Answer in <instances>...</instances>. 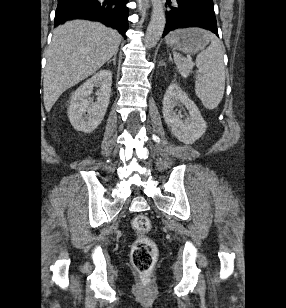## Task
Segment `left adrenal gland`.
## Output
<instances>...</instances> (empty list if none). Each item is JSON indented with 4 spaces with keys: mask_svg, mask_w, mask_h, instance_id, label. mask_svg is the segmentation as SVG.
I'll return each instance as SVG.
<instances>
[{
    "mask_svg": "<svg viewBox=\"0 0 286 308\" xmlns=\"http://www.w3.org/2000/svg\"><path fill=\"white\" fill-rule=\"evenodd\" d=\"M165 63L163 61H160L159 66H163Z\"/></svg>",
    "mask_w": 286,
    "mask_h": 308,
    "instance_id": "left-adrenal-gland-1",
    "label": "left adrenal gland"
}]
</instances>
